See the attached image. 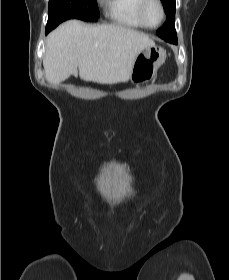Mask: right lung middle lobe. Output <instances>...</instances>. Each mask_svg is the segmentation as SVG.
Instances as JSON below:
<instances>
[{"label":"right lung middle lobe","mask_w":229,"mask_h":280,"mask_svg":"<svg viewBox=\"0 0 229 280\" xmlns=\"http://www.w3.org/2000/svg\"><path fill=\"white\" fill-rule=\"evenodd\" d=\"M98 17L96 0H49L46 30L51 31L67 19L97 21Z\"/></svg>","instance_id":"dd1d6c3e"}]
</instances>
